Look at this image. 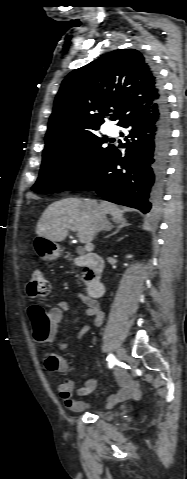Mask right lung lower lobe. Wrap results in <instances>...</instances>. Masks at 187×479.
I'll return each mask as SVG.
<instances>
[{
	"mask_svg": "<svg viewBox=\"0 0 187 479\" xmlns=\"http://www.w3.org/2000/svg\"><path fill=\"white\" fill-rule=\"evenodd\" d=\"M119 126L130 129L125 156L112 147L104 161L72 190H94L110 202L148 213L161 201L171 138L164 94L152 106L128 114Z\"/></svg>",
	"mask_w": 187,
	"mask_h": 479,
	"instance_id": "right-lung-lower-lobe-1",
	"label": "right lung lower lobe"
}]
</instances>
